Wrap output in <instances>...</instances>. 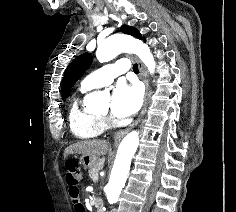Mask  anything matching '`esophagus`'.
<instances>
[{"label":"esophagus","mask_w":236,"mask_h":212,"mask_svg":"<svg viewBox=\"0 0 236 212\" xmlns=\"http://www.w3.org/2000/svg\"><path fill=\"white\" fill-rule=\"evenodd\" d=\"M131 57L134 58L136 60V62L138 63L139 70H140V76L145 84L144 103H143V106H142V109H141V112H140L138 118L129 127L118 131L114 135L115 143L119 142L133 127H135L136 125H138L140 123V121H141L142 117L144 116L146 109H147V101H148V94H149V83H148V79H147V74H146V71H145L142 63L135 56H131Z\"/></svg>","instance_id":"1"}]
</instances>
